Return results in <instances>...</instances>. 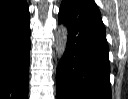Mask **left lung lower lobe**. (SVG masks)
I'll return each mask as SVG.
<instances>
[{"label": "left lung lower lobe", "instance_id": "1", "mask_svg": "<svg viewBox=\"0 0 128 99\" xmlns=\"http://www.w3.org/2000/svg\"><path fill=\"white\" fill-rule=\"evenodd\" d=\"M58 21L69 33L57 68V99H111L108 44L95 2L63 0Z\"/></svg>", "mask_w": 128, "mask_h": 99}]
</instances>
